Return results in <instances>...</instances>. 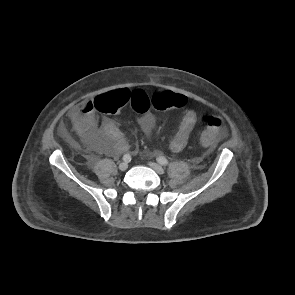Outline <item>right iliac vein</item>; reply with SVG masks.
Instances as JSON below:
<instances>
[{
	"mask_svg": "<svg viewBox=\"0 0 295 295\" xmlns=\"http://www.w3.org/2000/svg\"><path fill=\"white\" fill-rule=\"evenodd\" d=\"M127 168H128V163H127V162H121V163L119 164V169H120L121 171H125Z\"/></svg>",
	"mask_w": 295,
	"mask_h": 295,
	"instance_id": "1",
	"label": "right iliac vein"
}]
</instances>
